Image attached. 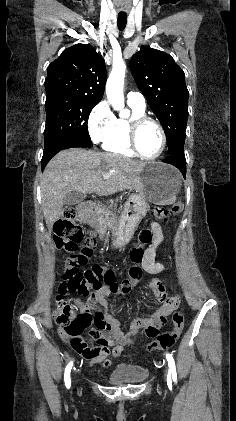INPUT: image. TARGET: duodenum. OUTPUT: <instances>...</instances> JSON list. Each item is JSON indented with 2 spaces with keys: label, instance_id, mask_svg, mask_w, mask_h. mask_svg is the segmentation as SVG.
<instances>
[{
  "label": "duodenum",
  "instance_id": "obj_1",
  "mask_svg": "<svg viewBox=\"0 0 236 421\" xmlns=\"http://www.w3.org/2000/svg\"><path fill=\"white\" fill-rule=\"evenodd\" d=\"M98 205L93 200H83L78 206V212L80 220L84 223H93L96 220V214ZM138 328L134 329L133 333H136ZM127 339L120 333L119 329L110 325L107 328L106 342L112 345L116 342L125 343Z\"/></svg>",
  "mask_w": 236,
  "mask_h": 421
}]
</instances>
